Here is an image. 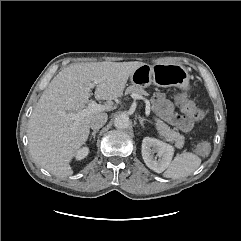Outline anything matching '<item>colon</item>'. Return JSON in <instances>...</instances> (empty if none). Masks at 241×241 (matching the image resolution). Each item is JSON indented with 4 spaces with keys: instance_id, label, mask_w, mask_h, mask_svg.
<instances>
[{
    "instance_id": "5ec220e1",
    "label": "colon",
    "mask_w": 241,
    "mask_h": 241,
    "mask_svg": "<svg viewBox=\"0 0 241 241\" xmlns=\"http://www.w3.org/2000/svg\"><path fill=\"white\" fill-rule=\"evenodd\" d=\"M176 101L181 110L191 119L200 120L206 115V110L198 108L185 94H178ZM196 151L201 156H206L210 152V144L206 141H201L196 146Z\"/></svg>"
}]
</instances>
